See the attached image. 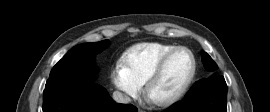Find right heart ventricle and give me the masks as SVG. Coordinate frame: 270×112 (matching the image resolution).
I'll use <instances>...</instances> for the list:
<instances>
[{
	"label": "right heart ventricle",
	"instance_id": "obj_1",
	"mask_svg": "<svg viewBox=\"0 0 270 112\" xmlns=\"http://www.w3.org/2000/svg\"><path fill=\"white\" fill-rule=\"evenodd\" d=\"M175 47L159 42L138 44L124 54V67L138 84L143 85L159 61Z\"/></svg>",
	"mask_w": 270,
	"mask_h": 112
}]
</instances>
